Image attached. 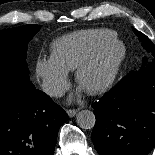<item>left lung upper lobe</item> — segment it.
Returning a JSON list of instances; mask_svg holds the SVG:
<instances>
[{
  "label": "left lung upper lobe",
  "mask_w": 155,
  "mask_h": 155,
  "mask_svg": "<svg viewBox=\"0 0 155 155\" xmlns=\"http://www.w3.org/2000/svg\"><path fill=\"white\" fill-rule=\"evenodd\" d=\"M133 31L138 36V39L140 40L143 48L151 55L149 60L147 57H144L142 59V65L140 68L145 67L147 65L155 66V45L143 33L135 29H133Z\"/></svg>",
  "instance_id": "1"
}]
</instances>
